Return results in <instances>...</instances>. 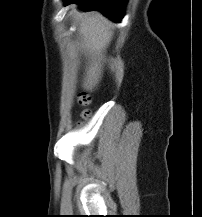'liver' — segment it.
I'll list each match as a JSON object with an SVG mask.
<instances>
[{
  "label": "liver",
  "mask_w": 202,
  "mask_h": 217,
  "mask_svg": "<svg viewBox=\"0 0 202 217\" xmlns=\"http://www.w3.org/2000/svg\"><path fill=\"white\" fill-rule=\"evenodd\" d=\"M74 12L79 18V37L85 44L91 59L89 67L86 69L83 87L92 91L101 79L103 53L112 39L113 24L99 13L80 12L76 8Z\"/></svg>",
  "instance_id": "liver-1"
}]
</instances>
